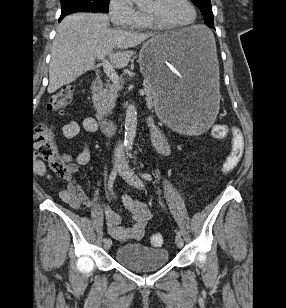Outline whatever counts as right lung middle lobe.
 I'll return each mask as SVG.
<instances>
[{
	"instance_id": "right-lung-middle-lobe-1",
	"label": "right lung middle lobe",
	"mask_w": 286,
	"mask_h": 308,
	"mask_svg": "<svg viewBox=\"0 0 286 308\" xmlns=\"http://www.w3.org/2000/svg\"><path fill=\"white\" fill-rule=\"evenodd\" d=\"M110 0H60L62 13L68 15L73 12H104L109 9Z\"/></svg>"
}]
</instances>
